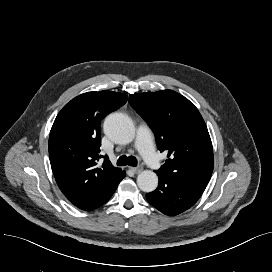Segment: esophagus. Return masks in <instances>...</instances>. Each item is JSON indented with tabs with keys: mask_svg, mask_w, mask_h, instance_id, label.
Here are the masks:
<instances>
[{
	"mask_svg": "<svg viewBox=\"0 0 272 272\" xmlns=\"http://www.w3.org/2000/svg\"><path fill=\"white\" fill-rule=\"evenodd\" d=\"M130 169L135 173L138 174L143 170L142 166H138V167H130Z\"/></svg>",
	"mask_w": 272,
	"mask_h": 272,
	"instance_id": "1",
	"label": "esophagus"
}]
</instances>
